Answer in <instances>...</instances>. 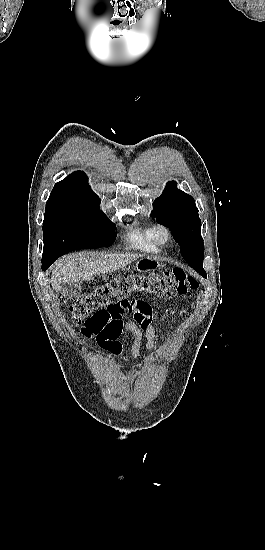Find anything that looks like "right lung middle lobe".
I'll list each match as a JSON object with an SVG mask.
<instances>
[{"label":"right lung middle lobe","instance_id":"obj_1","mask_svg":"<svg viewBox=\"0 0 265 550\" xmlns=\"http://www.w3.org/2000/svg\"><path fill=\"white\" fill-rule=\"evenodd\" d=\"M99 203V198L47 202L42 260L53 263L73 250L111 246L116 237L115 225L100 211Z\"/></svg>","mask_w":265,"mask_h":550}]
</instances>
